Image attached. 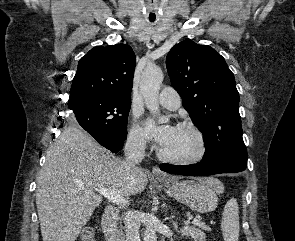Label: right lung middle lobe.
Wrapping results in <instances>:
<instances>
[{"label":"right lung middle lobe","mask_w":295,"mask_h":241,"mask_svg":"<svg viewBox=\"0 0 295 241\" xmlns=\"http://www.w3.org/2000/svg\"><path fill=\"white\" fill-rule=\"evenodd\" d=\"M131 101L87 99L69 104L72 120L87 132H96L117 140L127 138V120Z\"/></svg>","instance_id":"dd1d6c3e"}]
</instances>
